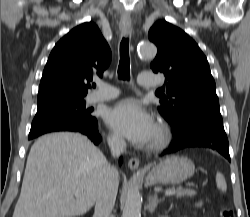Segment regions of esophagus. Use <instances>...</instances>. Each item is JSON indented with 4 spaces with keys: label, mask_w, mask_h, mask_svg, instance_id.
<instances>
[{
    "label": "esophagus",
    "mask_w": 250,
    "mask_h": 217,
    "mask_svg": "<svg viewBox=\"0 0 250 217\" xmlns=\"http://www.w3.org/2000/svg\"><path fill=\"white\" fill-rule=\"evenodd\" d=\"M120 31L122 35H128L132 31V22L130 18H122L120 21ZM139 160L135 157L131 158L128 162V167L133 171H140Z\"/></svg>",
    "instance_id": "esophagus-1"
}]
</instances>
